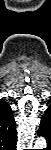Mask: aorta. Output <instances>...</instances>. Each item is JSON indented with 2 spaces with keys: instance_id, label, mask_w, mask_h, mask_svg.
Here are the masks:
<instances>
[{
  "instance_id": "aorta-1",
  "label": "aorta",
  "mask_w": 51,
  "mask_h": 150,
  "mask_svg": "<svg viewBox=\"0 0 51 150\" xmlns=\"http://www.w3.org/2000/svg\"><path fill=\"white\" fill-rule=\"evenodd\" d=\"M35 147H37V149H42L43 147H46V140L43 137L38 138L35 141Z\"/></svg>"
}]
</instances>
